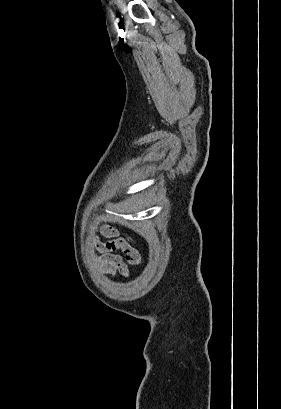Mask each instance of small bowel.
Here are the masks:
<instances>
[{"label":"small bowel","mask_w":281,"mask_h":409,"mask_svg":"<svg viewBox=\"0 0 281 409\" xmlns=\"http://www.w3.org/2000/svg\"><path fill=\"white\" fill-rule=\"evenodd\" d=\"M101 232L103 236L109 239L108 241L102 242L97 236H92L90 242L95 249L101 253L99 256V262L103 271L110 276L120 274L123 277H127L129 275L128 266H137V263L140 261V252L134 250L130 243H126L121 239L119 233L108 225L103 226L102 231L99 226H92L90 228V233L92 235H99ZM118 249L123 251L128 266L123 261V258L115 253Z\"/></svg>","instance_id":"1"}]
</instances>
